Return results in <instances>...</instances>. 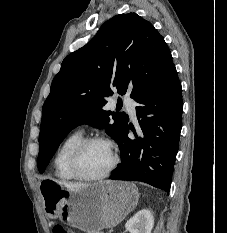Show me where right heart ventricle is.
<instances>
[{
	"label": "right heart ventricle",
	"instance_id": "obj_1",
	"mask_svg": "<svg viewBox=\"0 0 227 233\" xmlns=\"http://www.w3.org/2000/svg\"><path fill=\"white\" fill-rule=\"evenodd\" d=\"M82 139V132H73L68 135L59 146L53 162L55 174L59 179L65 181L75 179L69 169V157L72 150Z\"/></svg>",
	"mask_w": 227,
	"mask_h": 233
}]
</instances>
